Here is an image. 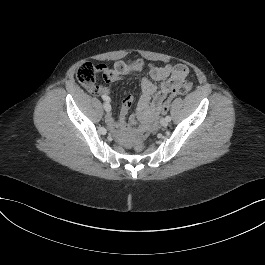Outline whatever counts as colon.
<instances>
[{
  "label": "colon",
  "instance_id": "1",
  "mask_svg": "<svg viewBox=\"0 0 265 265\" xmlns=\"http://www.w3.org/2000/svg\"><path fill=\"white\" fill-rule=\"evenodd\" d=\"M133 66L140 70L143 67L141 61H134ZM99 71V66L94 65L90 62H85L81 64L76 70V77L79 83H81L86 88H91L94 86L96 80V74ZM192 88V82L184 80L180 82L169 94L168 98L164 101L161 106V112L164 113L168 111L171 101L179 95L186 94ZM134 149L137 152H142L145 149V143L142 139H138L134 143Z\"/></svg>",
  "mask_w": 265,
  "mask_h": 265
}]
</instances>
